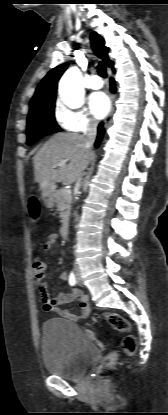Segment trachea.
Masks as SVG:
<instances>
[{
	"label": "trachea",
	"mask_w": 168,
	"mask_h": 415,
	"mask_svg": "<svg viewBox=\"0 0 168 415\" xmlns=\"http://www.w3.org/2000/svg\"><path fill=\"white\" fill-rule=\"evenodd\" d=\"M98 68V73L101 77L106 78L107 77V72H106V67L104 65V63L100 62L97 66Z\"/></svg>",
	"instance_id": "obj_1"
}]
</instances>
